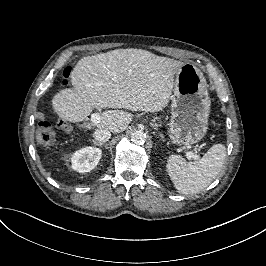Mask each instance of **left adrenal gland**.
I'll list each match as a JSON object with an SVG mask.
<instances>
[{
    "label": "left adrenal gland",
    "mask_w": 266,
    "mask_h": 266,
    "mask_svg": "<svg viewBox=\"0 0 266 266\" xmlns=\"http://www.w3.org/2000/svg\"><path fill=\"white\" fill-rule=\"evenodd\" d=\"M160 137H161L162 139H164V136H163V134H161V133H160Z\"/></svg>",
    "instance_id": "a2214340"
}]
</instances>
